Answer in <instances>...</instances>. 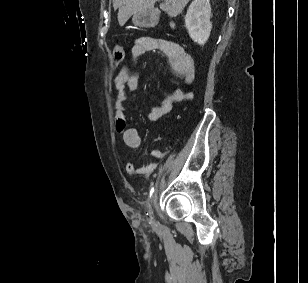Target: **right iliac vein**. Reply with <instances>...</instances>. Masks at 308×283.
<instances>
[{
    "label": "right iliac vein",
    "mask_w": 308,
    "mask_h": 283,
    "mask_svg": "<svg viewBox=\"0 0 308 283\" xmlns=\"http://www.w3.org/2000/svg\"><path fill=\"white\" fill-rule=\"evenodd\" d=\"M149 213H150V217H151V219H152V218H153V217H152V215H153V210H152L151 206H150V208H149Z\"/></svg>",
    "instance_id": "right-iliac-vein-1"
}]
</instances>
